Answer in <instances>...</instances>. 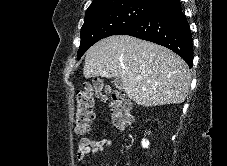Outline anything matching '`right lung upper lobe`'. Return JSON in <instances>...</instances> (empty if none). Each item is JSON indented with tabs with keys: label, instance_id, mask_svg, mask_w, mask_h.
Returning a JSON list of instances; mask_svg holds the SVG:
<instances>
[{
	"label": "right lung upper lobe",
	"instance_id": "obj_1",
	"mask_svg": "<svg viewBox=\"0 0 227 166\" xmlns=\"http://www.w3.org/2000/svg\"><path fill=\"white\" fill-rule=\"evenodd\" d=\"M163 1L165 0H93L92 4L86 10V13L100 8L128 3V2L142 3V4H147L155 7L160 3H162Z\"/></svg>",
	"mask_w": 227,
	"mask_h": 166
}]
</instances>
